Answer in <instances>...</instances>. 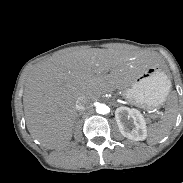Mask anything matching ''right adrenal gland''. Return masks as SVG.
Wrapping results in <instances>:
<instances>
[{"mask_svg":"<svg viewBox=\"0 0 183 183\" xmlns=\"http://www.w3.org/2000/svg\"><path fill=\"white\" fill-rule=\"evenodd\" d=\"M80 115H82V112H79V113L77 114V117H80Z\"/></svg>","mask_w":183,"mask_h":183,"instance_id":"1","label":"right adrenal gland"}]
</instances>
